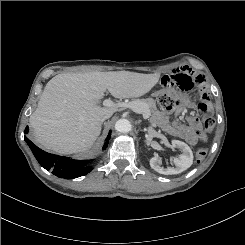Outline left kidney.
<instances>
[{"instance_id":"5707ae66","label":"left kidney","mask_w":245,"mask_h":245,"mask_svg":"<svg viewBox=\"0 0 245 245\" xmlns=\"http://www.w3.org/2000/svg\"><path fill=\"white\" fill-rule=\"evenodd\" d=\"M173 148H178L181 151L179 157L174 158V166L173 167H164L161 164V161L158 157H152L150 159V166L156 172L164 175H172L179 174L186 169H188L193 164V153L190 147L180 141V140H172L171 142Z\"/></svg>"}]
</instances>
